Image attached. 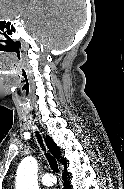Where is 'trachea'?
<instances>
[{
    "label": "trachea",
    "mask_w": 124,
    "mask_h": 189,
    "mask_svg": "<svg viewBox=\"0 0 124 189\" xmlns=\"http://www.w3.org/2000/svg\"><path fill=\"white\" fill-rule=\"evenodd\" d=\"M36 136H37V139L40 143V145L42 146L43 148V141H42V138H41V135L36 131ZM43 150H45V148H43ZM46 152V150H45ZM46 157L48 159V162H49V165L51 167V169L54 171V172H59V168H58V164H57V161L54 157H52L49 153H46Z\"/></svg>",
    "instance_id": "1"
}]
</instances>
